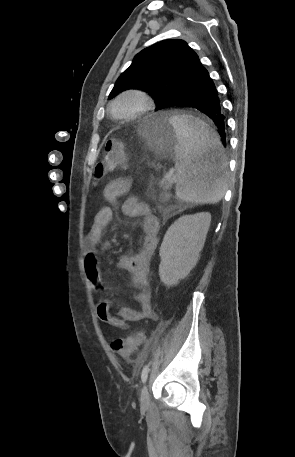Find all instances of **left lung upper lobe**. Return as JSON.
Wrapping results in <instances>:
<instances>
[{"label":"left lung upper lobe","instance_id":"left-lung-upper-lobe-1","mask_svg":"<svg viewBox=\"0 0 295 457\" xmlns=\"http://www.w3.org/2000/svg\"><path fill=\"white\" fill-rule=\"evenodd\" d=\"M198 60L196 52L180 39H167L140 51L117 79L109 97L127 89H142L159 109L188 87V74Z\"/></svg>","mask_w":295,"mask_h":457}]
</instances>
